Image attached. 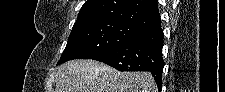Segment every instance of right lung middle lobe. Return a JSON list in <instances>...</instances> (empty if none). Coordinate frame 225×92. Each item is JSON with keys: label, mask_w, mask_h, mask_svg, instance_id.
I'll use <instances>...</instances> for the list:
<instances>
[{"label": "right lung middle lobe", "mask_w": 225, "mask_h": 92, "mask_svg": "<svg viewBox=\"0 0 225 92\" xmlns=\"http://www.w3.org/2000/svg\"><path fill=\"white\" fill-rule=\"evenodd\" d=\"M141 30L119 22L85 24L73 27L57 65L73 59H91L99 53L129 42Z\"/></svg>", "instance_id": "obj_1"}]
</instances>
